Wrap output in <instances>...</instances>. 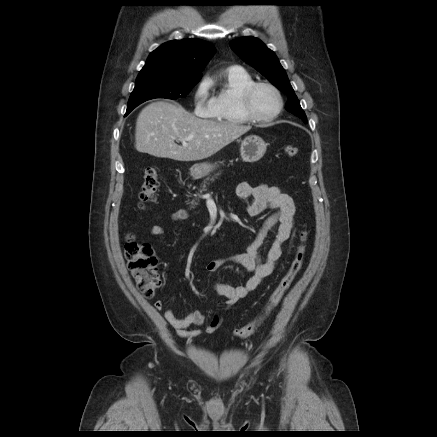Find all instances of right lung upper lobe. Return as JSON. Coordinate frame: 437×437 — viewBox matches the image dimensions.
I'll use <instances>...</instances> for the list:
<instances>
[{"label":"right lung upper lobe","mask_w":437,"mask_h":437,"mask_svg":"<svg viewBox=\"0 0 437 437\" xmlns=\"http://www.w3.org/2000/svg\"><path fill=\"white\" fill-rule=\"evenodd\" d=\"M215 50L213 45L199 39L169 41L149 55L140 72L162 70L178 77L201 78V71Z\"/></svg>","instance_id":"obj_1"}]
</instances>
